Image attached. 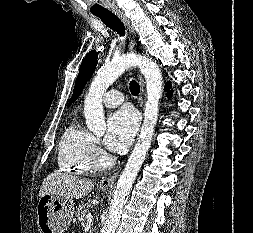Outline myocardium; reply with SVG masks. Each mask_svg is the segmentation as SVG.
<instances>
[{
	"label": "myocardium",
	"mask_w": 253,
	"mask_h": 233,
	"mask_svg": "<svg viewBox=\"0 0 253 233\" xmlns=\"http://www.w3.org/2000/svg\"><path fill=\"white\" fill-rule=\"evenodd\" d=\"M91 162L93 167H107L111 164L112 159L100 150H93L91 154Z\"/></svg>",
	"instance_id": "myocardium-1"
}]
</instances>
